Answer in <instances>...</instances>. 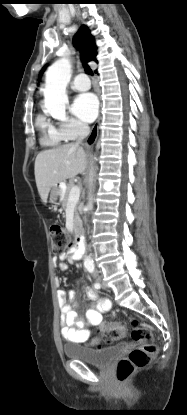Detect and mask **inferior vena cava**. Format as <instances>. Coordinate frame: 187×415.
Here are the masks:
<instances>
[{"instance_id": "obj_1", "label": "inferior vena cava", "mask_w": 187, "mask_h": 415, "mask_svg": "<svg viewBox=\"0 0 187 415\" xmlns=\"http://www.w3.org/2000/svg\"><path fill=\"white\" fill-rule=\"evenodd\" d=\"M90 133V128L85 123H80L78 125V140L76 142L79 145Z\"/></svg>"}]
</instances>
